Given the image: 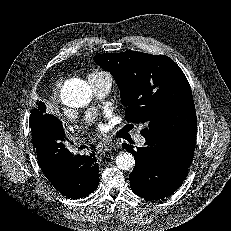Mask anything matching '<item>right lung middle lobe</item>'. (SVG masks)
Masks as SVG:
<instances>
[{
	"label": "right lung middle lobe",
	"instance_id": "dd1d6c3e",
	"mask_svg": "<svg viewBox=\"0 0 231 231\" xmlns=\"http://www.w3.org/2000/svg\"><path fill=\"white\" fill-rule=\"evenodd\" d=\"M45 105L44 103L40 102L39 103V106L37 109H34L31 113V116H30V124L34 123V121L37 119V118H40L42 116V114H44L45 112Z\"/></svg>",
	"mask_w": 231,
	"mask_h": 231
}]
</instances>
